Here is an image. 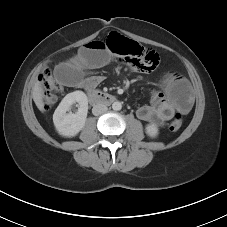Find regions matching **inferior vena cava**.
<instances>
[{
  "instance_id": "obj_1",
  "label": "inferior vena cava",
  "mask_w": 227,
  "mask_h": 227,
  "mask_svg": "<svg viewBox=\"0 0 227 227\" xmlns=\"http://www.w3.org/2000/svg\"><path fill=\"white\" fill-rule=\"evenodd\" d=\"M107 106L104 104H97L92 108V113L95 116H98L100 114H103L107 111Z\"/></svg>"
}]
</instances>
